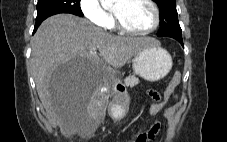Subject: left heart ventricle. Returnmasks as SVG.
Here are the masks:
<instances>
[{
	"mask_svg": "<svg viewBox=\"0 0 227 142\" xmlns=\"http://www.w3.org/2000/svg\"><path fill=\"white\" fill-rule=\"evenodd\" d=\"M112 11L133 30H145L154 20L153 10L146 0H116Z\"/></svg>",
	"mask_w": 227,
	"mask_h": 142,
	"instance_id": "b2bd125f",
	"label": "left heart ventricle"
}]
</instances>
